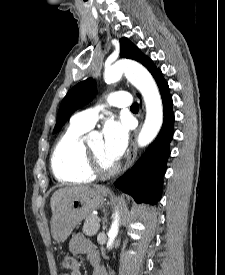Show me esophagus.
<instances>
[{"label": "esophagus", "mask_w": 225, "mask_h": 275, "mask_svg": "<svg viewBox=\"0 0 225 275\" xmlns=\"http://www.w3.org/2000/svg\"><path fill=\"white\" fill-rule=\"evenodd\" d=\"M139 131H140V126L132 135L130 148H129V155L122 173H124L128 168L131 167V165L133 164L137 156V138H138Z\"/></svg>", "instance_id": "esophagus-1"}]
</instances>
